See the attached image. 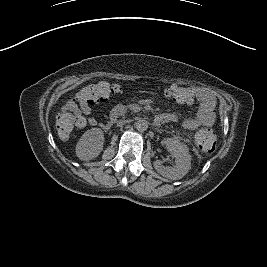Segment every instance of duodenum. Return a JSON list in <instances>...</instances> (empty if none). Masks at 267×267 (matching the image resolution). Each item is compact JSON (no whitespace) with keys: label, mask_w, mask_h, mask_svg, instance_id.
Listing matches in <instances>:
<instances>
[{"label":"duodenum","mask_w":267,"mask_h":267,"mask_svg":"<svg viewBox=\"0 0 267 267\" xmlns=\"http://www.w3.org/2000/svg\"><path fill=\"white\" fill-rule=\"evenodd\" d=\"M127 116H129V113H128L127 110H125L122 107H116L111 113L110 122H114L119 118H125ZM156 120H157L158 123L162 122V118L161 117H158Z\"/></svg>","instance_id":"duodenum-1"}]
</instances>
